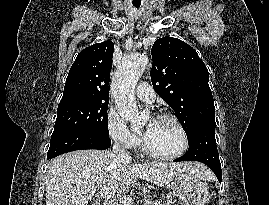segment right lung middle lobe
I'll return each mask as SVG.
<instances>
[{"mask_svg":"<svg viewBox=\"0 0 269 205\" xmlns=\"http://www.w3.org/2000/svg\"><path fill=\"white\" fill-rule=\"evenodd\" d=\"M108 102L75 103L58 106L54 130L79 128L109 136Z\"/></svg>","mask_w":269,"mask_h":205,"instance_id":"right-lung-middle-lobe-1","label":"right lung middle lobe"}]
</instances>
